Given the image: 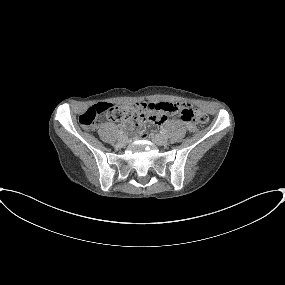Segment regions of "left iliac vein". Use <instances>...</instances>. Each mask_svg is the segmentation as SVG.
<instances>
[{
    "label": "left iliac vein",
    "mask_w": 285,
    "mask_h": 285,
    "mask_svg": "<svg viewBox=\"0 0 285 285\" xmlns=\"http://www.w3.org/2000/svg\"><path fill=\"white\" fill-rule=\"evenodd\" d=\"M151 140L156 143L157 145H166L167 144V137L164 135L156 134V135H151Z\"/></svg>",
    "instance_id": "obj_1"
}]
</instances>
